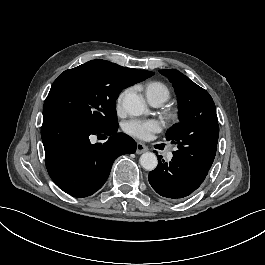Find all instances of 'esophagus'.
<instances>
[{
  "instance_id": "34e87169",
  "label": "esophagus",
  "mask_w": 265,
  "mask_h": 265,
  "mask_svg": "<svg viewBox=\"0 0 265 265\" xmlns=\"http://www.w3.org/2000/svg\"><path fill=\"white\" fill-rule=\"evenodd\" d=\"M148 150V147L141 143V142H138L137 143V147H136V153L137 154H142L143 152L147 151Z\"/></svg>"
}]
</instances>
